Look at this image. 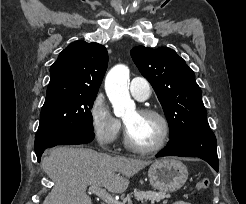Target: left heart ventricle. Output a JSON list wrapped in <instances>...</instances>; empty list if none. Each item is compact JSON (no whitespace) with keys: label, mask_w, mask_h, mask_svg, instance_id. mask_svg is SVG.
<instances>
[{"label":"left heart ventricle","mask_w":246,"mask_h":204,"mask_svg":"<svg viewBox=\"0 0 246 204\" xmlns=\"http://www.w3.org/2000/svg\"><path fill=\"white\" fill-rule=\"evenodd\" d=\"M129 136L133 143L148 147L155 145L162 135V124L154 116L142 115L133 111L125 117Z\"/></svg>","instance_id":"b2bd125f"}]
</instances>
